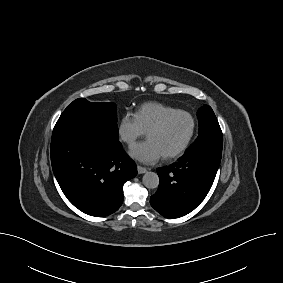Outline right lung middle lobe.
Returning a JSON list of instances; mask_svg holds the SVG:
<instances>
[{"label":"right lung middle lobe","instance_id":"obj_1","mask_svg":"<svg viewBox=\"0 0 283 283\" xmlns=\"http://www.w3.org/2000/svg\"><path fill=\"white\" fill-rule=\"evenodd\" d=\"M86 129L108 140H118L117 108L114 103H92L84 98L74 100L61 114L54 130Z\"/></svg>","mask_w":283,"mask_h":283}]
</instances>
